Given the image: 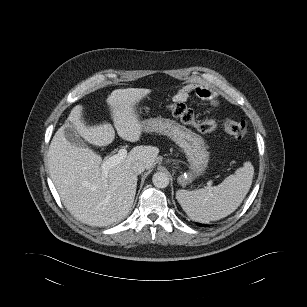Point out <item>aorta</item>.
<instances>
[{
  "label": "aorta",
  "instance_id": "aorta-1",
  "mask_svg": "<svg viewBox=\"0 0 307 307\" xmlns=\"http://www.w3.org/2000/svg\"><path fill=\"white\" fill-rule=\"evenodd\" d=\"M152 182L157 188H165L169 185V176L165 172H156L152 177Z\"/></svg>",
  "mask_w": 307,
  "mask_h": 307
}]
</instances>
